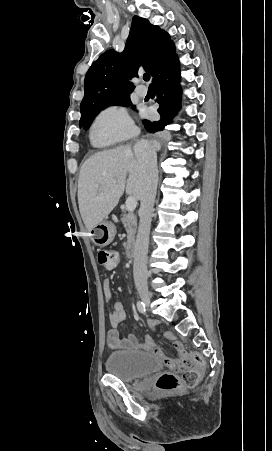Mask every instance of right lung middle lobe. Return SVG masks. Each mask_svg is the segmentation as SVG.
<instances>
[{
    "mask_svg": "<svg viewBox=\"0 0 272 451\" xmlns=\"http://www.w3.org/2000/svg\"><path fill=\"white\" fill-rule=\"evenodd\" d=\"M131 104L132 103H131L130 98H126V99L112 101L107 104H103V105L85 110V111L81 112V119H80L79 125H80V127L87 129L89 127L91 121L93 120V118L97 115V113L109 105L130 106ZM132 108L135 109V106H132Z\"/></svg>",
    "mask_w": 272,
    "mask_h": 451,
    "instance_id": "obj_1",
    "label": "right lung middle lobe"
}]
</instances>
